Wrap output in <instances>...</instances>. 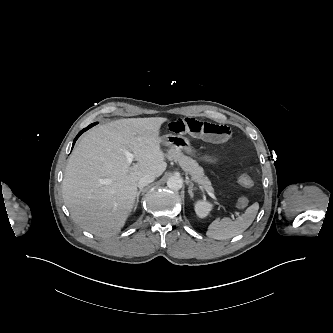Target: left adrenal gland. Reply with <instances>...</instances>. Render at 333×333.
Wrapping results in <instances>:
<instances>
[{
    "label": "left adrenal gland",
    "instance_id": "a2214340",
    "mask_svg": "<svg viewBox=\"0 0 333 333\" xmlns=\"http://www.w3.org/2000/svg\"><path fill=\"white\" fill-rule=\"evenodd\" d=\"M187 183L189 184L188 193H189L190 197L193 198V196H194L193 190H196V188L193 187L192 182L188 181Z\"/></svg>",
    "mask_w": 333,
    "mask_h": 333
}]
</instances>
